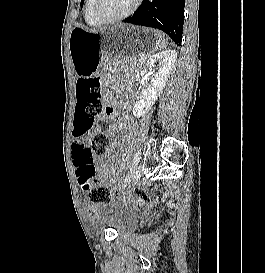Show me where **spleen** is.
Here are the masks:
<instances>
[{
    "label": "spleen",
    "instance_id": "1",
    "mask_svg": "<svg viewBox=\"0 0 265 273\" xmlns=\"http://www.w3.org/2000/svg\"><path fill=\"white\" fill-rule=\"evenodd\" d=\"M156 46L159 50L166 48V41L163 35L160 33H156Z\"/></svg>",
    "mask_w": 265,
    "mask_h": 273
}]
</instances>
